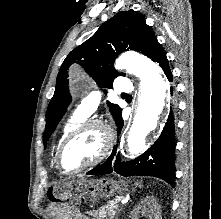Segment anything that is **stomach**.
<instances>
[{"label":"stomach","mask_w":221,"mask_h":219,"mask_svg":"<svg viewBox=\"0 0 221 219\" xmlns=\"http://www.w3.org/2000/svg\"><path fill=\"white\" fill-rule=\"evenodd\" d=\"M66 188L60 190L63 199H71V204H92L96 199H118L122 190H126L123 181H114L110 178H70Z\"/></svg>","instance_id":"stomach-1"}]
</instances>
